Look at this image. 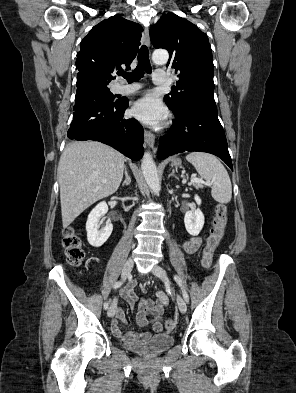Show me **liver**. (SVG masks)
I'll return each mask as SVG.
<instances>
[{
    "label": "liver",
    "instance_id": "6515ba94",
    "mask_svg": "<svg viewBox=\"0 0 296 393\" xmlns=\"http://www.w3.org/2000/svg\"><path fill=\"white\" fill-rule=\"evenodd\" d=\"M124 161V155L98 141H75L66 146L58 166L64 228L93 203L118 190Z\"/></svg>",
    "mask_w": 296,
    "mask_h": 393
}]
</instances>
